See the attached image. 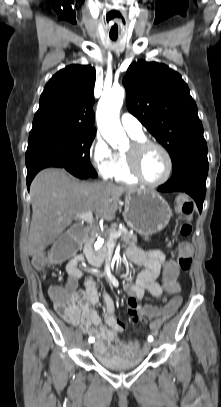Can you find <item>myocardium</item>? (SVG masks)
<instances>
[{"label":"myocardium","mask_w":221,"mask_h":407,"mask_svg":"<svg viewBox=\"0 0 221 407\" xmlns=\"http://www.w3.org/2000/svg\"><path fill=\"white\" fill-rule=\"evenodd\" d=\"M156 148L160 150L166 157L168 163L167 173L161 180L151 181L147 179L141 170L140 161L142 155L149 149ZM128 169L130 174L139 182L148 186H161L168 182L173 174L174 162L173 158L166 147L162 144L150 140H136L132 143L130 149L125 153Z\"/></svg>","instance_id":"myocardium-1"}]
</instances>
